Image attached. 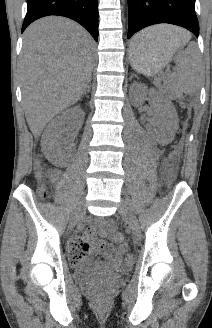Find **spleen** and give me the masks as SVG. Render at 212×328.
<instances>
[{"label": "spleen", "mask_w": 212, "mask_h": 328, "mask_svg": "<svg viewBox=\"0 0 212 328\" xmlns=\"http://www.w3.org/2000/svg\"><path fill=\"white\" fill-rule=\"evenodd\" d=\"M178 38L179 35L168 26L160 25L150 27L134 37V41L140 44L135 50L139 51L152 46L162 45L165 39L174 40ZM175 62L178 68L171 75L173 87L176 91L188 94L196 92L201 81L196 44L190 43L187 49L181 50L176 55Z\"/></svg>", "instance_id": "3e777b00"}]
</instances>
